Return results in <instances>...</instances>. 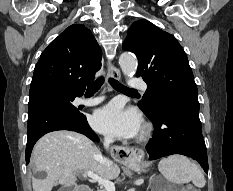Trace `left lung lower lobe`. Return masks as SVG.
<instances>
[{"label": "left lung lower lobe", "mask_w": 233, "mask_h": 191, "mask_svg": "<svg viewBox=\"0 0 233 191\" xmlns=\"http://www.w3.org/2000/svg\"><path fill=\"white\" fill-rule=\"evenodd\" d=\"M145 114L155 127L154 137L146 146L149 160L182 154L198 161L208 173L198 104L177 99L160 100Z\"/></svg>", "instance_id": "1"}]
</instances>
